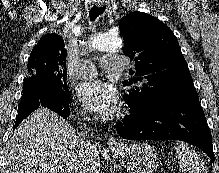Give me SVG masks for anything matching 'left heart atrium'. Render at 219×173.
Here are the masks:
<instances>
[{
    "label": "left heart atrium",
    "mask_w": 219,
    "mask_h": 173,
    "mask_svg": "<svg viewBox=\"0 0 219 173\" xmlns=\"http://www.w3.org/2000/svg\"><path fill=\"white\" fill-rule=\"evenodd\" d=\"M78 97L85 107L104 116L113 115L120 102L117 89L102 80L82 83L78 88Z\"/></svg>",
    "instance_id": "left-heart-atrium-1"
}]
</instances>
